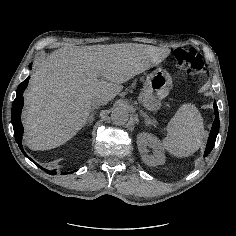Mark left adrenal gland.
<instances>
[{
    "label": "left adrenal gland",
    "mask_w": 236,
    "mask_h": 236,
    "mask_svg": "<svg viewBox=\"0 0 236 236\" xmlns=\"http://www.w3.org/2000/svg\"><path fill=\"white\" fill-rule=\"evenodd\" d=\"M140 114H141V116H143L145 118V121H146L145 124L146 125H154V121L151 118H149L146 113L140 111Z\"/></svg>",
    "instance_id": "left-adrenal-gland-1"
}]
</instances>
